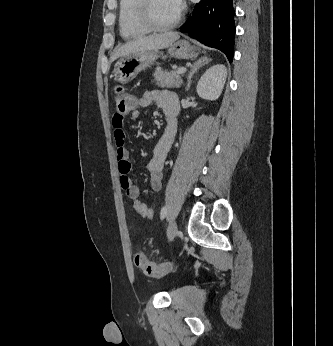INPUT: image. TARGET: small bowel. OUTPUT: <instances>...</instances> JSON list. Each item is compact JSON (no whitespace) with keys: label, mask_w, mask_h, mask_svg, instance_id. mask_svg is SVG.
Returning a JSON list of instances; mask_svg holds the SVG:
<instances>
[{"label":"small bowel","mask_w":333,"mask_h":346,"mask_svg":"<svg viewBox=\"0 0 333 346\" xmlns=\"http://www.w3.org/2000/svg\"><path fill=\"white\" fill-rule=\"evenodd\" d=\"M151 104H156L158 106L167 121L165 132L157 142L153 155L147 164V169L150 173L151 188L154 192H159L162 189L164 162L177 130L176 115L178 112V99L177 96L169 90H148L141 97L136 99L135 107L130 115V121L134 122L138 119L139 107H147ZM112 124L115 129V141L117 144L116 157L121 187L132 200L133 209L141 217L152 219L155 216L154 208L139 200L140 188L134 184L128 176L131 170V163L130 153L128 149L124 147V141L126 139L124 119L120 116H114Z\"/></svg>","instance_id":"1"}]
</instances>
